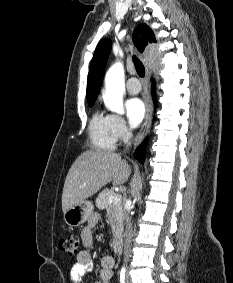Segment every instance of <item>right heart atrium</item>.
<instances>
[{"label":"right heart atrium","instance_id":"obj_1","mask_svg":"<svg viewBox=\"0 0 233 283\" xmlns=\"http://www.w3.org/2000/svg\"><path fill=\"white\" fill-rule=\"evenodd\" d=\"M113 122V130L116 140L124 141L130 136V129L126 125L124 119L117 115H111Z\"/></svg>","mask_w":233,"mask_h":283}]
</instances>
